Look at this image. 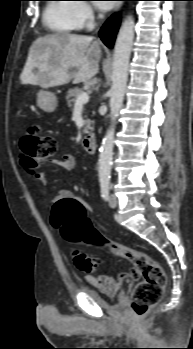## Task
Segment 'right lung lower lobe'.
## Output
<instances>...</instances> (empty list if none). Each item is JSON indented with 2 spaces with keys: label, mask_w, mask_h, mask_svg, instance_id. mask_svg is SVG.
I'll return each instance as SVG.
<instances>
[{
  "label": "right lung lower lobe",
  "mask_w": 193,
  "mask_h": 349,
  "mask_svg": "<svg viewBox=\"0 0 193 349\" xmlns=\"http://www.w3.org/2000/svg\"><path fill=\"white\" fill-rule=\"evenodd\" d=\"M120 23V16L118 14L113 15L101 28L99 35L102 41L108 46L112 47L115 35L117 33Z\"/></svg>",
  "instance_id": "obj_1"
}]
</instances>
